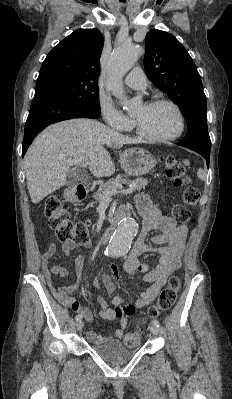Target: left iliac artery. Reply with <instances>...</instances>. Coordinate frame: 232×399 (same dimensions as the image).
<instances>
[{"label": "left iliac artery", "mask_w": 232, "mask_h": 399, "mask_svg": "<svg viewBox=\"0 0 232 399\" xmlns=\"http://www.w3.org/2000/svg\"><path fill=\"white\" fill-rule=\"evenodd\" d=\"M151 324H152L153 326H157V327H159V326H160V323H159V321H158V320H156V319H153V320L151 321Z\"/></svg>", "instance_id": "44dca946"}]
</instances>
